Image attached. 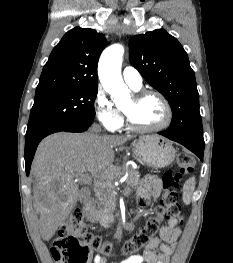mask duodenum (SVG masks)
<instances>
[{
	"instance_id": "duodenum-1",
	"label": "duodenum",
	"mask_w": 233,
	"mask_h": 263,
	"mask_svg": "<svg viewBox=\"0 0 233 263\" xmlns=\"http://www.w3.org/2000/svg\"><path fill=\"white\" fill-rule=\"evenodd\" d=\"M83 209H84V212H85L86 216L90 217L92 215L93 202H92V200L90 198H87L84 201Z\"/></svg>"
}]
</instances>
